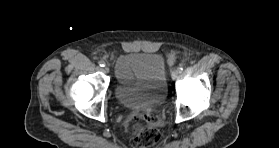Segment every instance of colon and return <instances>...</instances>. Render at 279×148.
<instances>
[{"mask_svg":"<svg viewBox=\"0 0 279 148\" xmlns=\"http://www.w3.org/2000/svg\"><path fill=\"white\" fill-rule=\"evenodd\" d=\"M179 60V55L172 52L168 61L174 64ZM125 128L131 135V142L135 148H149L160 140V130L151 120V110H134L125 122Z\"/></svg>","mask_w":279,"mask_h":148,"instance_id":"5ec220e1","label":"colon"}]
</instances>
